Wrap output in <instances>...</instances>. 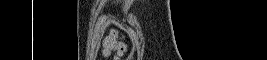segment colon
I'll return each instance as SVG.
<instances>
[{
  "instance_id": "1",
  "label": "colon",
  "mask_w": 267,
  "mask_h": 60,
  "mask_svg": "<svg viewBox=\"0 0 267 60\" xmlns=\"http://www.w3.org/2000/svg\"><path fill=\"white\" fill-rule=\"evenodd\" d=\"M126 50L124 43L114 34L106 37L103 53L107 57L121 56Z\"/></svg>"
}]
</instances>
